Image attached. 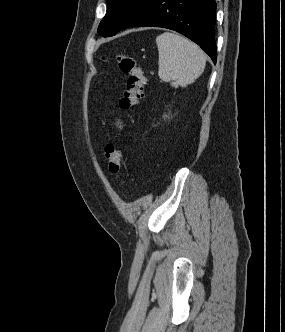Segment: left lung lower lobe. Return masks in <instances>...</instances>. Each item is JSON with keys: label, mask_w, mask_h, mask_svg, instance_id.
I'll return each instance as SVG.
<instances>
[{"label": "left lung lower lobe", "mask_w": 285, "mask_h": 332, "mask_svg": "<svg viewBox=\"0 0 285 332\" xmlns=\"http://www.w3.org/2000/svg\"><path fill=\"white\" fill-rule=\"evenodd\" d=\"M215 10V0H153L128 27L175 30L197 43L216 63Z\"/></svg>", "instance_id": "1"}]
</instances>
